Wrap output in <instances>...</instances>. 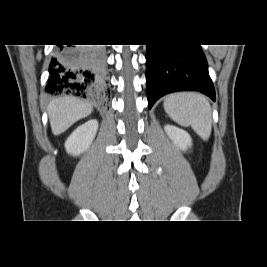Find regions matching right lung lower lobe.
I'll list each match as a JSON object with an SVG mask.
<instances>
[{
  "mask_svg": "<svg viewBox=\"0 0 267 267\" xmlns=\"http://www.w3.org/2000/svg\"><path fill=\"white\" fill-rule=\"evenodd\" d=\"M104 62L101 47L58 45L50 63L46 91L52 95L102 98L106 90Z\"/></svg>",
  "mask_w": 267,
  "mask_h": 267,
  "instance_id": "1",
  "label": "right lung lower lobe"
}]
</instances>
